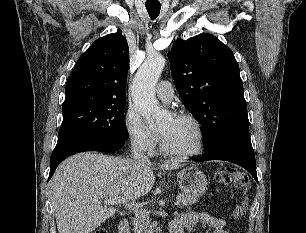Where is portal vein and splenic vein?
Masks as SVG:
<instances>
[{
  "label": "portal vein and splenic vein",
  "mask_w": 306,
  "mask_h": 233,
  "mask_svg": "<svg viewBox=\"0 0 306 233\" xmlns=\"http://www.w3.org/2000/svg\"><path fill=\"white\" fill-rule=\"evenodd\" d=\"M108 202H109L110 204H127V203H128V201H127L125 198H123V197L110 198V199L108 200ZM174 205H175V206H179V205H180V200L177 199V200L174 202Z\"/></svg>",
  "instance_id": "1"
}]
</instances>
